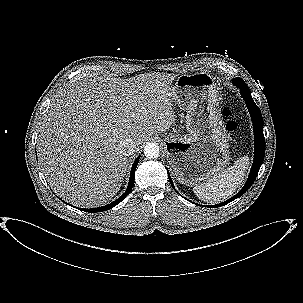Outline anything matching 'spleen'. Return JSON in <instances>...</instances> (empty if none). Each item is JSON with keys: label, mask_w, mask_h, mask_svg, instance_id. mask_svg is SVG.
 <instances>
[{"label": "spleen", "mask_w": 303, "mask_h": 303, "mask_svg": "<svg viewBox=\"0 0 303 303\" xmlns=\"http://www.w3.org/2000/svg\"><path fill=\"white\" fill-rule=\"evenodd\" d=\"M249 164V157L243 156L233 166L216 174L207 182L195 186L193 192L205 202L211 204L223 202L241 185Z\"/></svg>", "instance_id": "3e777b00"}]
</instances>
